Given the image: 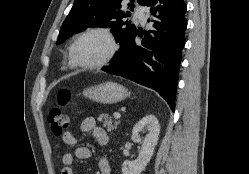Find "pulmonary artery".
Masks as SVG:
<instances>
[{
	"label": "pulmonary artery",
	"instance_id": "pulmonary-artery-1",
	"mask_svg": "<svg viewBox=\"0 0 249 174\" xmlns=\"http://www.w3.org/2000/svg\"><path fill=\"white\" fill-rule=\"evenodd\" d=\"M147 16H148V11L146 10V8L141 6L136 8L134 12V17L138 19L141 23L144 24L146 22Z\"/></svg>",
	"mask_w": 249,
	"mask_h": 174
}]
</instances>
